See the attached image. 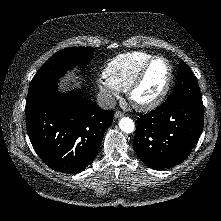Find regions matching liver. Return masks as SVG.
<instances>
[{"label":"liver","mask_w":221,"mask_h":221,"mask_svg":"<svg viewBox=\"0 0 221 221\" xmlns=\"http://www.w3.org/2000/svg\"><path fill=\"white\" fill-rule=\"evenodd\" d=\"M70 77H71V76L66 77V78L64 79V81H66V80H68V79L74 80V78H70ZM64 85H65V83H63V85L61 86L62 89L64 88Z\"/></svg>","instance_id":"1"}]
</instances>
